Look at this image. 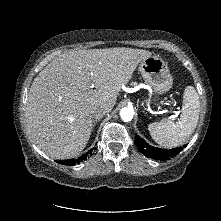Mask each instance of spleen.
<instances>
[{"mask_svg": "<svg viewBox=\"0 0 221 221\" xmlns=\"http://www.w3.org/2000/svg\"><path fill=\"white\" fill-rule=\"evenodd\" d=\"M183 111L177 122L168 119L148 125L151 137L159 145L177 147L182 145L194 132L200 113V101L194 87L187 86L183 95Z\"/></svg>", "mask_w": 221, "mask_h": 221, "instance_id": "1", "label": "spleen"}]
</instances>
